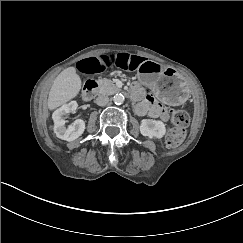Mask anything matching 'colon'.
<instances>
[{"instance_id": "5ec220e1", "label": "colon", "mask_w": 243, "mask_h": 243, "mask_svg": "<svg viewBox=\"0 0 243 243\" xmlns=\"http://www.w3.org/2000/svg\"><path fill=\"white\" fill-rule=\"evenodd\" d=\"M171 122L174 126L168 131L166 142L170 147H176L185 139L189 116L184 110H174L171 112Z\"/></svg>"}]
</instances>
